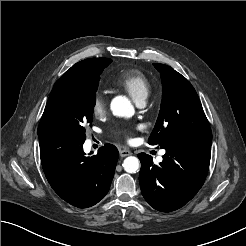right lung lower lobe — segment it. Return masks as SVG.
Wrapping results in <instances>:
<instances>
[{
  "instance_id": "1",
  "label": "right lung lower lobe",
  "mask_w": 246,
  "mask_h": 246,
  "mask_svg": "<svg viewBox=\"0 0 246 246\" xmlns=\"http://www.w3.org/2000/svg\"><path fill=\"white\" fill-rule=\"evenodd\" d=\"M80 135H39L40 157L45 176L54 191L78 208L95 205L107 194L118 160L114 145L105 144L97 155L86 157Z\"/></svg>"
}]
</instances>
